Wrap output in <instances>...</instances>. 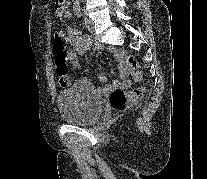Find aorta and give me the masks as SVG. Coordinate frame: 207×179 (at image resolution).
I'll use <instances>...</instances> for the list:
<instances>
[{"mask_svg":"<svg viewBox=\"0 0 207 179\" xmlns=\"http://www.w3.org/2000/svg\"><path fill=\"white\" fill-rule=\"evenodd\" d=\"M76 2H79V1H81V0H75Z\"/></svg>","mask_w":207,"mask_h":179,"instance_id":"1","label":"aorta"}]
</instances>
